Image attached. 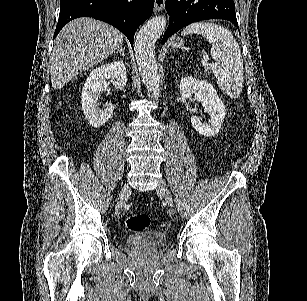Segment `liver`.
<instances>
[{"label":"liver","mask_w":307,"mask_h":301,"mask_svg":"<svg viewBox=\"0 0 307 301\" xmlns=\"http://www.w3.org/2000/svg\"><path fill=\"white\" fill-rule=\"evenodd\" d=\"M124 34L102 20L74 18L54 40L50 56L51 84L63 88L74 76L98 64L122 46Z\"/></svg>","instance_id":"obj_1"}]
</instances>
